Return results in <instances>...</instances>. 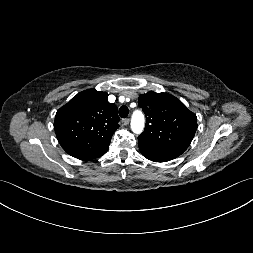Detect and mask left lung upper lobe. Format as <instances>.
I'll return each instance as SVG.
<instances>
[{
	"mask_svg": "<svg viewBox=\"0 0 253 253\" xmlns=\"http://www.w3.org/2000/svg\"><path fill=\"white\" fill-rule=\"evenodd\" d=\"M139 106L146 116V127L139 135L140 147L181 155L190 145L197 117L176 97L148 92L139 96Z\"/></svg>",
	"mask_w": 253,
	"mask_h": 253,
	"instance_id": "5c2ea615",
	"label": "left lung upper lobe"
}]
</instances>
